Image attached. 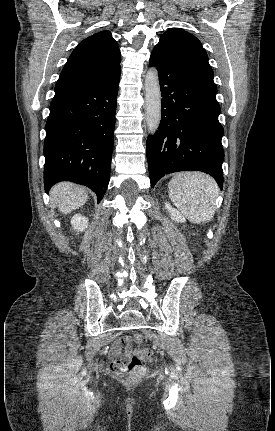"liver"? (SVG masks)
<instances>
[{
	"label": "liver",
	"mask_w": 275,
	"mask_h": 431,
	"mask_svg": "<svg viewBox=\"0 0 275 431\" xmlns=\"http://www.w3.org/2000/svg\"><path fill=\"white\" fill-rule=\"evenodd\" d=\"M51 200L58 205V209L63 214H68L72 210L84 205L88 200L86 190L70 182L56 184L50 192Z\"/></svg>",
	"instance_id": "liver-1"
}]
</instances>
